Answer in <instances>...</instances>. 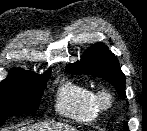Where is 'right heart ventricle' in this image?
Listing matches in <instances>:
<instances>
[{
    "label": "right heart ventricle",
    "mask_w": 147,
    "mask_h": 131,
    "mask_svg": "<svg viewBox=\"0 0 147 131\" xmlns=\"http://www.w3.org/2000/svg\"><path fill=\"white\" fill-rule=\"evenodd\" d=\"M95 95L96 91L87 84L65 81L57 90L55 110L59 115L77 122H93L99 115Z\"/></svg>",
    "instance_id": "right-heart-ventricle-1"
}]
</instances>
